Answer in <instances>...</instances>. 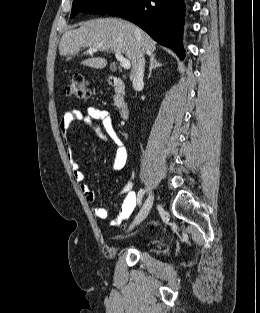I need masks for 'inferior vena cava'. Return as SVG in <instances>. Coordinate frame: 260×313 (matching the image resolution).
<instances>
[{
	"label": "inferior vena cava",
	"instance_id": "602c4592",
	"mask_svg": "<svg viewBox=\"0 0 260 313\" xmlns=\"http://www.w3.org/2000/svg\"><path fill=\"white\" fill-rule=\"evenodd\" d=\"M144 69H145V59L143 57V54H141L137 62L135 74L132 77V85L135 90H137L139 87L143 86L144 84L143 82Z\"/></svg>",
	"mask_w": 260,
	"mask_h": 313
}]
</instances>
